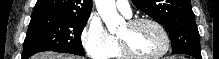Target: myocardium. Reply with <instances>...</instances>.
Segmentation results:
<instances>
[{
	"label": "myocardium",
	"mask_w": 219,
	"mask_h": 59,
	"mask_svg": "<svg viewBox=\"0 0 219 59\" xmlns=\"http://www.w3.org/2000/svg\"><path fill=\"white\" fill-rule=\"evenodd\" d=\"M145 23L151 24L160 32L164 40L163 48L159 52L151 56H139V55L134 54L121 38L117 37L118 45H119V49H120L122 57L126 59H160L169 52L170 47H171L170 35L167 32L166 28L159 21L153 18L141 17V18L132 19L128 21L127 24L131 27H135V26H138L140 24H145Z\"/></svg>",
	"instance_id": "1"
}]
</instances>
